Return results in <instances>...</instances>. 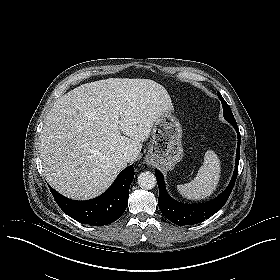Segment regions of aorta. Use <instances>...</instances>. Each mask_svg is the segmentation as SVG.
Here are the masks:
<instances>
[{"mask_svg": "<svg viewBox=\"0 0 280 280\" xmlns=\"http://www.w3.org/2000/svg\"><path fill=\"white\" fill-rule=\"evenodd\" d=\"M138 184L141 188L150 190L156 186L157 180L153 173L146 171L139 174Z\"/></svg>", "mask_w": 280, "mask_h": 280, "instance_id": "762f6f07", "label": "aorta"}]
</instances>
